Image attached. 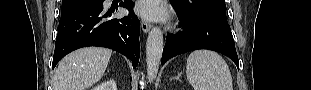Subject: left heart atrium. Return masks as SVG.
I'll list each match as a JSON object with an SVG mask.
<instances>
[{"instance_id": "39dd6f15", "label": "left heart atrium", "mask_w": 311, "mask_h": 90, "mask_svg": "<svg viewBox=\"0 0 311 90\" xmlns=\"http://www.w3.org/2000/svg\"><path fill=\"white\" fill-rule=\"evenodd\" d=\"M137 12L144 18L149 20L161 19L164 11L157 0H142L137 6Z\"/></svg>"}]
</instances>
